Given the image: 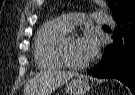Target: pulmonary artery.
Listing matches in <instances>:
<instances>
[{
	"label": "pulmonary artery",
	"instance_id": "e3ab8cb5",
	"mask_svg": "<svg viewBox=\"0 0 135 95\" xmlns=\"http://www.w3.org/2000/svg\"><path fill=\"white\" fill-rule=\"evenodd\" d=\"M95 21L98 23H111L112 19L107 16L104 12H97L94 14ZM60 19L65 23V25L72 29L78 24L88 21L89 19L80 13H68L60 17Z\"/></svg>",
	"mask_w": 135,
	"mask_h": 95
}]
</instances>
